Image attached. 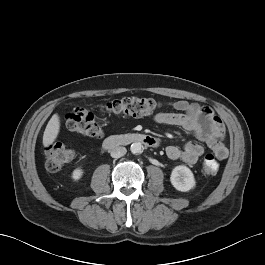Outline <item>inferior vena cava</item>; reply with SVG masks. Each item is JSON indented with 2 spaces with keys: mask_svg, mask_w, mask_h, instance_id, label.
<instances>
[{
  "mask_svg": "<svg viewBox=\"0 0 265 265\" xmlns=\"http://www.w3.org/2000/svg\"><path fill=\"white\" fill-rule=\"evenodd\" d=\"M126 152L127 150L125 147L119 146V147L114 148L110 154H111V157L113 158H120L124 156Z\"/></svg>",
  "mask_w": 265,
  "mask_h": 265,
  "instance_id": "1",
  "label": "inferior vena cava"
}]
</instances>
